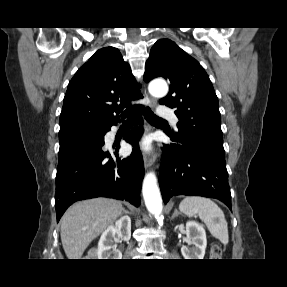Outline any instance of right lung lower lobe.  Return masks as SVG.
Listing matches in <instances>:
<instances>
[{
    "label": "right lung lower lobe",
    "instance_id": "98d812e1",
    "mask_svg": "<svg viewBox=\"0 0 287 287\" xmlns=\"http://www.w3.org/2000/svg\"><path fill=\"white\" fill-rule=\"evenodd\" d=\"M143 106L127 115H133L132 125L143 124ZM137 110V111H135ZM117 121L103 126L96 140H72L60 144L56 174L55 208L57 221L66 209L78 200L109 197L140 205V191L144 164L138 142L144 130L136 126L124 139L134 149L130 156L121 158L103 149L104 135Z\"/></svg>",
    "mask_w": 287,
    "mask_h": 287
}]
</instances>
